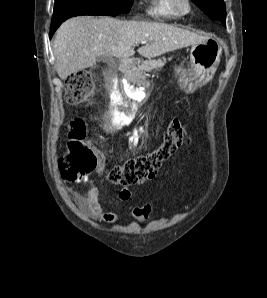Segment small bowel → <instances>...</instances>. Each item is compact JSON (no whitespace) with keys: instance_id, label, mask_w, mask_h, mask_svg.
I'll list each match as a JSON object with an SVG mask.
<instances>
[{"instance_id":"c3829d8e","label":"small bowel","mask_w":267,"mask_h":298,"mask_svg":"<svg viewBox=\"0 0 267 298\" xmlns=\"http://www.w3.org/2000/svg\"><path fill=\"white\" fill-rule=\"evenodd\" d=\"M103 172V160L100 159L98 174L101 177ZM155 176V175H154ZM152 176L150 179H152ZM149 180V179H148ZM101 183H104L102 179H100ZM140 182L139 184L143 183ZM131 192L128 187H124L118 195V199L120 202H126L130 199ZM73 198L77 205L81 208V210L93 219H100L108 223H115L118 220V215L113 212H106L100 205L98 201V190L95 187H91L86 195H81L79 193L74 192ZM152 205L147 204L143 206H136L131 209V216L138 222H143L147 220L152 212Z\"/></svg>"}]
</instances>
